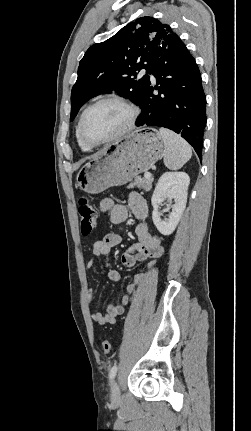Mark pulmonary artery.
I'll return each instance as SVG.
<instances>
[{
    "mask_svg": "<svg viewBox=\"0 0 251 431\" xmlns=\"http://www.w3.org/2000/svg\"><path fill=\"white\" fill-rule=\"evenodd\" d=\"M142 73L144 74V73H145V70H143V71H142ZM150 77H151V78H154L153 74H150Z\"/></svg>",
    "mask_w": 251,
    "mask_h": 431,
    "instance_id": "1",
    "label": "pulmonary artery"
}]
</instances>
